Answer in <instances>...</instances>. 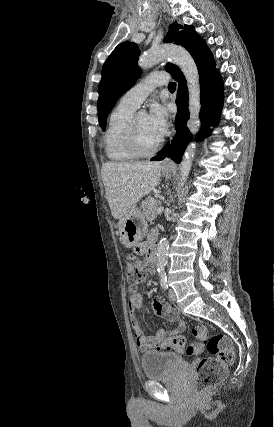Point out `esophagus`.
<instances>
[{"instance_id":"1","label":"esophagus","mask_w":274,"mask_h":427,"mask_svg":"<svg viewBox=\"0 0 274 427\" xmlns=\"http://www.w3.org/2000/svg\"><path fill=\"white\" fill-rule=\"evenodd\" d=\"M161 163L162 167H168L169 165H172V161L169 158L164 159Z\"/></svg>"}]
</instances>
